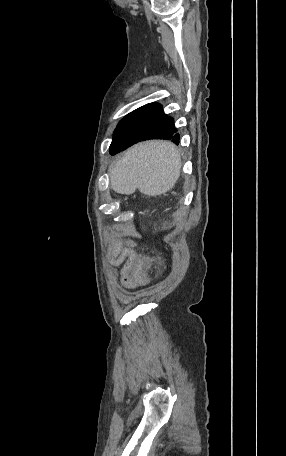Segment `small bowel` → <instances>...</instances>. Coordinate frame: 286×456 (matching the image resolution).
Instances as JSON below:
<instances>
[{
    "label": "small bowel",
    "mask_w": 286,
    "mask_h": 456,
    "mask_svg": "<svg viewBox=\"0 0 286 456\" xmlns=\"http://www.w3.org/2000/svg\"><path fill=\"white\" fill-rule=\"evenodd\" d=\"M137 254L132 245L123 247L120 241L114 242L108 252V258L113 267L121 266L120 279L121 283L127 289H134L139 286L132 277V267Z\"/></svg>",
    "instance_id": "1"
}]
</instances>
